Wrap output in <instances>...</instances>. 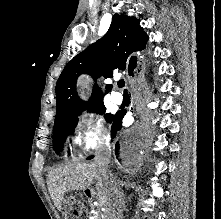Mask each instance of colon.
Masks as SVG:
<instances>
[{"label":"colon","instance_id":"colon-1","mask_svg":"<svg viewBox=\"0 0 221 219\" xmlns=\"http://www.w3.org/2000/svg\"><path fill=\"white\" fill-rule=\"evenodd\" d=\"M69 219H79L82 217V208L74 198H68L65 202Z\"/></svg>","mask_w":221,"mask_h":219}]
</instances>
